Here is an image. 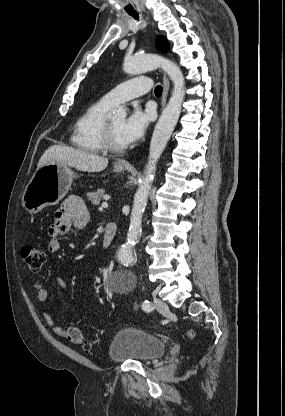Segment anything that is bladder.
<instances>
[{"label":"bladder","mask_w":285,"mask_h":416,"mask_svg":"<svg viewBox=\"0 0 285 416\" xmlns=\"http://www.w3.org/2000/svg\"><path fill=\"white\" fill-rule=\"evenodd\" d=\"M166 343L137 328L120 329L112 338L109 357L114 362H147L165 353Z\"/></svg>","instance_id":"1"}]
</instances>
